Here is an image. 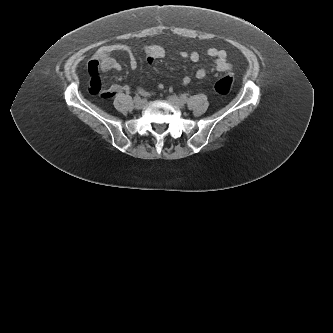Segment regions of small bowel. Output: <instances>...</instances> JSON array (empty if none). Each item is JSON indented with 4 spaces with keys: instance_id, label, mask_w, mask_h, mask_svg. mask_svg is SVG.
Instances as JSON below:
<instances>
[{
    "instance_id": "small-bowel-1",
    "label": "small bowel",
    "mask_w": 333,
    "mask_h": 333,
    "mask_svg": "<svg viewBox=\"0 0 333 333\" xmlns=\"http://www.w3.org/2000/svg\"><path fill=\"white\" fill-rule=\"evenodd\" d=\"M123 51L129 55V65L132 70H135L139 66V61L134 55L132 50L122 44L106 45L98 48L96 52L92 55L90 61L88 62V71L91 75V80L89 84V92L92 94H99L101 92V79L99 77L100 72H106L110 70H120V63L112 56L115 52ZM179 56L184 59H189L192 62L199 61L200 55L198 52H187L179 51ZM207 55L214 59L213 69L218 72H226L231 69V64L227 59V54L224 50L217 48H210L207 50ZM165 56V50L157 45L148 46L145 49V58L148 64H152L155 60L161 59ZM207 75V70L204 68H199L195 72V78L201 80ZM191 82L189 76H184L182 79V85L187 86ZM158 90L163 89V85L159 84L157 86ZM131 88L129 85L113 84L108 89H106L102 96L105 98H110L118 94L119 92H130ZM139 93L142 95L148 94L143 89H138Z\"/></svg>"
}]
</instances>
